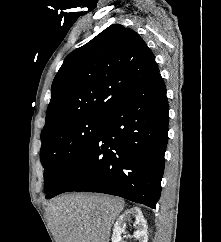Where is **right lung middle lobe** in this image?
Returning a JSON list of instances; mask_svg holds the SVG:
<instances>
[{
	"label": "right lung middle lobe",
	"mask_w": 221,
	"mask_h": 242,
	"mask_svg": "<svg viewBox=\"0 0 221 242\" xmlns=\"http://www.w3.org/2000/svg\"><path fill=\"white\" fill-rule=\"evenodd\" d=\"M103 117H84L57 126L41 135L40 159L48 199L59 178L103 124Z\"/></svg>",
	"instance_id": "dd1d6c3e"
}]
</instances>
